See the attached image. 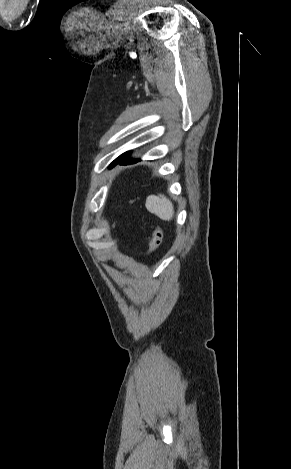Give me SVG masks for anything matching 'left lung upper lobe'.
Masks as SVG:
<instances>
[{
	"mask_svg": "<svg viewBox=\"0 0 291 469\" xmlns=\"http://www.w3.org/2000/svg\"><path fill=\"white\" fill-rule=\"evenodd\" d=\"M127 153V152H126ZM125 154V153H124ZM124 154L120 155L116 160L113 161L112 165H114L116 163V161L121 158Z\"/></svg>",
	"mask_w": 291,
	"mask_h": 469,
	"instance_id": "left-lung-upper-lobe-1",
	"label": "left lung upper lobe"
}]
</instances>
